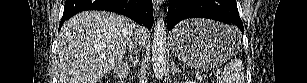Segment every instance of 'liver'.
<instances>
[{"instance_id":"obj_1","label":"liver","mask_w":307,"mask_h":83,"mask_svg":"<svg viewBox=\"0 0 307 83\" xmlns=\"http://www.w3.org/2000/svg\"><path fill=\"white\" fill-rule=\"evenodd\" d=\"M133 35L149 44L146 28L105 11H85L60 30L55 61L58 83H97L125 56Z\"/></svg>"}]
</instances>
